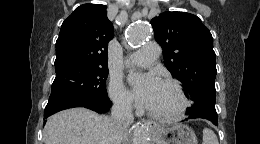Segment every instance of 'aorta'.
<instances>
[{
  "label": "aorta",
  "mask_w": 260,
  "mask_h": 144,
  "mask_svg": "<svg viewBox=\"0 0 260 144\" xmlns=\"http://www.w3.org/2000/svg\"><path fill=\"white\" fill-rule=\"evenodd\" d=\"M150 36L149 26L144 22L133 24L126 35V44L128 46L140 45L148 40ZM132 144H150L145 130L137 126L133 134Z\"/></svg>",
  "instance_id": "762f6f07"
}]
</instances>
